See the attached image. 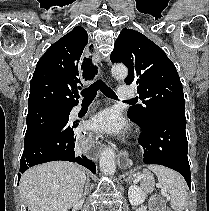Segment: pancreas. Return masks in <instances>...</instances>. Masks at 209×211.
<instances>
[{
  "mask_svg": "<svg viewBox=\"0 0 209 211\" xmlns=\"http://www.w3.org/2000/svg\"><path fill=\"white\" fill-rule=\"evenodd\" d=\"M140 186H141L144 193H150L154 189L153 181L146 180V179L141 180Z\"/></svg>",
  "mask_w": 209,
  "mask_h": 211,
  "instance_id": "1",
  "label": "pancreas"
}]
</instances>
